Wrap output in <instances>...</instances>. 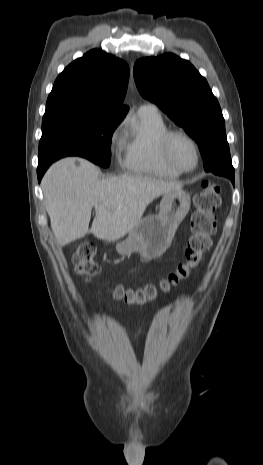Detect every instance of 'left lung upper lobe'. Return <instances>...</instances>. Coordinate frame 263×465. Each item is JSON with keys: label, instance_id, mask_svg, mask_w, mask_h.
Returning a JSON list of instances; mask_svg holds the SVG:
<instances>
[{"label": "left lung upper lobe", "instance_id": "1", "mask_svg": "<svg viewBox=\"0 0 263 465\" xmlns=\"http://www.w3.org/2000/svg\"><path fill=\"white\" fill-rule=\"evenodd\" d=\"M140 94L154 102L199 144L203 159L215 160V174L234 182L225 121L206 79L187 60L167 53L136 61Z\"/></svg>", "mask_w": 263, "mask_h": 465}]
</instances>
